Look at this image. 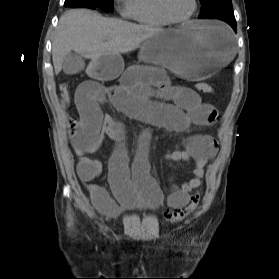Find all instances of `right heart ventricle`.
Masks as SVG:
<instances>
[{"label": "right heart ventricle", "mask_w": 279, "mask_h": 279, "mask_svg": "<svg viewBox=\"0 0 279 279\" xmlns=\"http://www.w3.org/2000/svg\"><path fill=\"white\" fill-rule=\"evenodd\" d=\"M132 18L146 26H166L169 22L160 14L157 0H134Z\"/></svg>", "instance_id": "right-heart-ventricle-1"}]
</instances>
